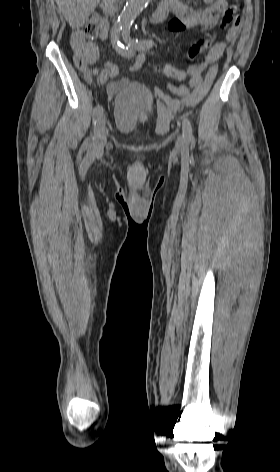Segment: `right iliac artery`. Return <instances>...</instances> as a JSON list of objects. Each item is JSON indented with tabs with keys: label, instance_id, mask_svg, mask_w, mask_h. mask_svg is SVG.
<instances>
[{
	"label": "right iliac artery",
	"instance_id": "1",
	"mask_svg": "<svg viewBox=\"0 0 280 472\" xmlns=\"http://www.w3.org/2000/svg\"><path fill=\"white\" fill-rule=\"evenodd\" d=\"M121 28L115 26L113 29H112V32H111V41H112V44H113V47L116 49V51L121 54L122 56L124 57H127V58H131L134 56V50L133 48H130L128 46H124L117 38V34L119 32ZM108 75H109V71L108 70H103L100 74V77H99V80H100V83L101 84H105L106 81H107V78H108ZM102 112H103V107L102 105L98 104L95 108H94V111H93V125L95 126L96 123L98 122V120L100 119L101 115H102ZM92 142H93V138L92 137H89L85 140L83 146L85 148L87 147H91L92 146Z\"/></svg>",
	"mask_w": 280,
	"mask_h": 472
}]
</instances>
